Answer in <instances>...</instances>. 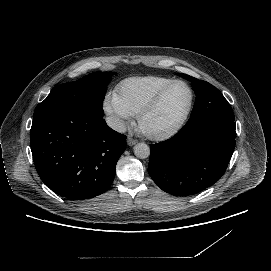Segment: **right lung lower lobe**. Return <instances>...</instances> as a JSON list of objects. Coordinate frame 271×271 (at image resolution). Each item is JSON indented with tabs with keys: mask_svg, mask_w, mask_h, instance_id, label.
I'll return each mask as SVG.
<instances>
[{
	"mask_svg": "<svg viewBox=\"0 0 271 271\" xmlns=\"http://www.w3.org/2000/svg\"><path fill=\"white\" fill-rule=\"evenodd\" d=\"M31 151L41 180L69 199L104 193L115 177L126 136L93 111H52L34 118Z\"/></svg>",
	"mask_w": 271,
	"mask_h": 271,
	"instance_id": "1",
	"label": "right lung lower lobe"
}]
</instances>
